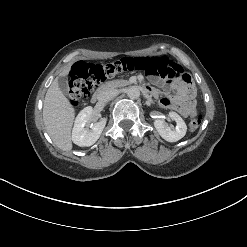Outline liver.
I'll use <instances>...</instances> for the list:
<instances>
[{
	"label": "liver",
	"mask_w": 247,
	"mask_h": 247,
	"mask_svg": "<svg viewBox=\"0 0 247 247\" xmlns=\"http://www.w3.org/2000/svg\"><path fill=\"white\" fill-rule=\"evenodd\" d=\"M70 67L59 76H67ZM75 111L58 86L56 78L47 90L43 105V121L47 133L54 144L63 151L72 150L71 129Z\"/></svg>",
	"instance_id": "6515ba94"
}]
</instances>
